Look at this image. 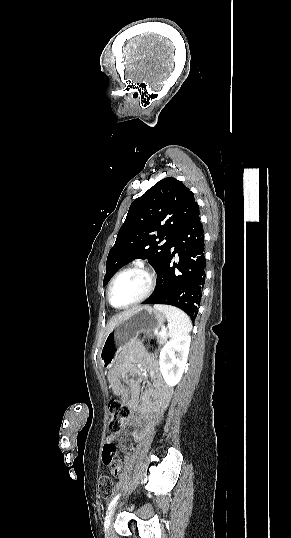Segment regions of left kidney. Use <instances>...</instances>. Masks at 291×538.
I'll return each mask as SVG.
<instances>
[{
    "label": "left kidney",
    "instance_id": "1",
    "mask_svg": "<svg viewBox=\"0 0 291 538\" xmlns=\"http://www.w3.org/2000/svg\"><path fill=\"white\" fill-rule=\"evenodd\" d=\"M191 337L184 334L169 340L162 348L159 365L166 384L177 385L185 370Z\"/></svg>",
    "mask_w": 291,
    "mask_h": 538
}]
</instances>
